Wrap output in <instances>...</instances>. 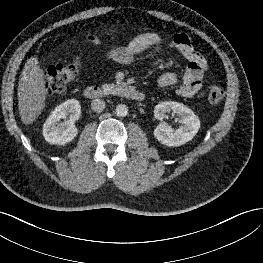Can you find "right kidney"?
I'll use <instances>...</instances> for the list:
<instances>
[{
	"label": "right kidney",
	"instance_id": "1",
	"mask_svg": "<svg viewBox=\"0 0 263 263\" xmlns=\"http://www.w3.org/2000/svg\"><path fill=\"white\" fill-rule=\"evenodd\" d=\"M81 105L78 100L70 99L58 105L43 125V136L50 144L64 145L78 134L75 121L80 118ZM65 119L64 122H60ZM66 119H68L66 121Z\"/></svg>",
	"mask_w": 263,
	"mask_h": 263
}]
</instances>
